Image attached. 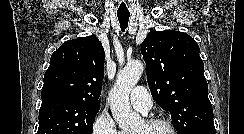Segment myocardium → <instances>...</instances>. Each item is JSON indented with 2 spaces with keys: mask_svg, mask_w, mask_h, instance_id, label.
Segmentation results:
<instances>
[{
  "mask_svg": "<svg viewBox=\"0 0 244 134\" xmlns=\"http://www.w3.org/2000/svg\"><path fill=\"white\" fill-rule=\"evenodd\" d=\"M144 124L148 127L162 125L168 128L171 134H179L175 126L168 120L160 118H150L143 121Z\"/></svg>",
  "mask_w": 244,
  "mask_h": 134,
  "instance_id": "1",
  "label": "myocardium"
}]
</instances>
